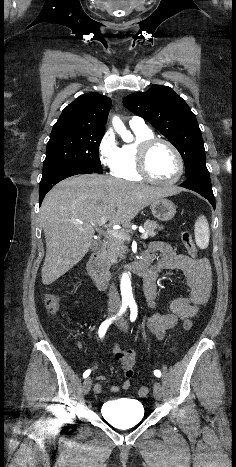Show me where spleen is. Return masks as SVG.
Segmentation results:
<instances>
[{
	"mask_svg": "<svg viewBox=\"0 0 236 467\" xmlns=\"http://www.w3.org/2000/svg\"><path fill=\"white\" fill-rule=\"evenodd\" d=\"M195 242L201 249H205L209 244L210 230L209 224L205 216H200L195 222Z\"/></svg>",
	"mask_w": 236,
	"mask_h": 467,
	"instance_id": "obj_1",
	"label": "spleen"
}]
</instances>
